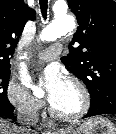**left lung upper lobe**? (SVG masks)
Instances as JSON below:
<instances>
[{"label": "left lung upper lobe", "mask_w": 116, "mask_h": 134, "mask_svg": "<svg viewBox=\"0 0 116 134\" xmlns=\"http://www.w3.org/2000/svg\"><path fill=\"white\" fill-rule=\"evenodd\" d=\"M78 28L61 61L82 80L91 104L116 101V2L67 0ZM78 47H75L78 45Z\"/></svg>", "instance_id": "left-lung-upper-lobe-1"}]
</instances>
